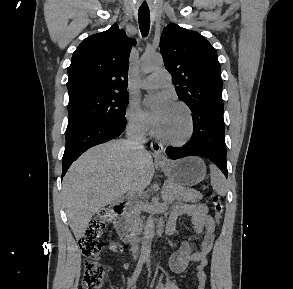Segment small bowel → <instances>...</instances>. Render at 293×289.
Instances as JSON below:
<instances>
[{"label":"small bowel","instance_id":"1","mask_svg":"<svg viewBox=\"0 0 293 289\" xmlns=\"http://www.w3.org/2000/svg\"><path fill=\"white\" fill-rule=\"evenodd\" d=\"M181 215L191 217L194 230L199 237H202L201 245L198 249L187 241H181L177 250L171 255L170 265L173 271L180 273L184 271L191 262H196V272L199 282L198 289L205 286V267L208 264V254L212 250L215 222L208 214V208L202 203L175 205L166 223V232L170 236H179L176 230V220Z\"/></svg>","mask_w":293,"mask_h":289}]
</instances>
